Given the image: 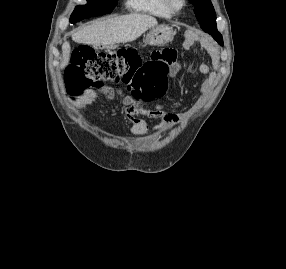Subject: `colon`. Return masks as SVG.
Returning <instances> with one entry per match:
<instances>
[{
	"mask_svg": "<svg viewBox=\"0 0 286 269\" xmlns=\"http://www.w3.org/2000/svg\"><path fill=\"white\" fill-rule=\"evenodd\" d=\"M175 56L172 49H165L153 52L152 59L144 61L134 49L106 53L81 44L68 71L67 91L76 96L90 88L123 84L135 97L155 99L167 89L169 63Z\"/></svg>",
	"mask_w": 286,
	"mask_h": 269,
	"instance_id": "obj_1",
	"label": "colon"
}]
</instances>
